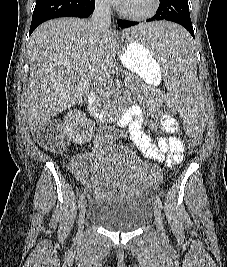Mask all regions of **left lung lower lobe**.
I'll use <instances>...</instances> for the list:
<instances>
[{
    "mask_svg": "<svg viewBox=\"0 0 227 267\" xmlns=\"http://www.w3.org/2000/svg\"><path fill=\"white\" fill-rule=\"evenodd\" d=\"M160 20L172 21L184 26L194 38L188 0H160V6L157 13L152 18L146 20V22ZM117 23L121 28H128L138 24L139 22L118 20ZM171 43L176 51L185 50L192 47L191 40L184 41L173 38Z\"/></svg>",
    "mask_w": 227,
    "mask_h": 267,
    "instance_id": "1",
    "label": "left lung lower lobe"
}]
</instances>
